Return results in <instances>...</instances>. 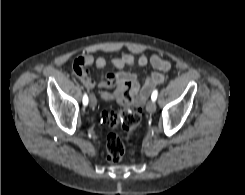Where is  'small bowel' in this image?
<instances>
[{"label":"small bowel","mask_w":245,"mask_h":195,"mask_svg":"<svg viewBox=\"0 0 245 195\" xmlns=\"http://www.w3.org/2000/svg\"><path fill=\"white\" fill-rule=\"evenodd\" d=\"M150 64L153 72L144 81H140L133 72L123 71L126 67H144ZM95 66L104 69L107 65L121 70L117 73H107L98 84L90 76L88 67ZM171 68V63L157 54L147 56L145 54L135 57L126 54L121 57L112 58L109 62L103 56L95 57L92 54H84L78 57L73 65L77 77L83 85L89 89L96 85L99 95L104 100H116L122 105H134L140 107L153 90V88L164 81V72ZM115 87L113 92L106 91L107 88Z\"/></svg>","instance_id":"1"}]
</instances>
